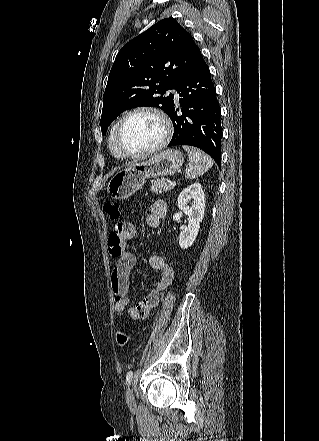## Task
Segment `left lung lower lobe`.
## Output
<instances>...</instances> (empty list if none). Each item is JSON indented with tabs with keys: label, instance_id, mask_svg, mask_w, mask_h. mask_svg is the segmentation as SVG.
<instances>
[{
	"label": "left lung lower lobe",
	"instance_id": "1",
	"mask_svg": "<svg viewBox=\"0 0 319 441\" xmlns=\"http://www.w3.org/2000/svg\"><path fill=\"white\" fill-rule=\"evenodd\" d=\"M179 108L175 104L169 114L174 134L168 146L191 145L208 153L220 166L221 127L220 106L209 68L202 55L182 77L176 87Z\"/></svg>",
	"mask_w": 319,
	"mask_h": 441
}]
</instances>
